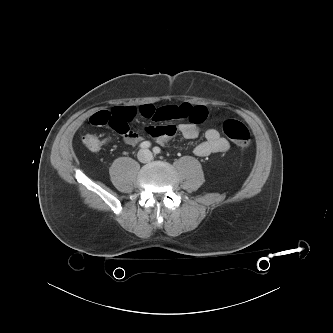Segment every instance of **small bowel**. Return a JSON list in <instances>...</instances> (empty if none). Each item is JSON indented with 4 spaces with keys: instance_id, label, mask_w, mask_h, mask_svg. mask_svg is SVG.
<instances>
[{
    "instance_id": "c3829d8e",
    "label": "small bowel",
    "mask_w": 333,
    "mask_h": 333,
    "mask_svg": "<svg viewBox=\"0 0 333 333\" xmlns=\"http://www.w3.org/2000/svg\"><path fill=\"white\" fill-rule=\"evenodd\" d=\"M128 108L116 107L103 111L109 112L114 117V122L110 126L123 136L125 143L134 146L141 142L143 137L138 132L130 129L129 125L124 122V114ZM100 112L102 111L90 116L89 123L91 125L100 126L97 120ZM139 112L143 117L156 123L146 127V133L162 145L169 143L177 134L188 140L196 139L200 134L199 124L203 123L208 117L206 107L194 106L189 103L162 108L143 105L139 107ZM175 120L186 121L175 125L173 124ZM229 148V142L220 135L219 131L210 128L206 130L204 140L195 146L194 153L199 157H206L214 153H224Z\"/></svg>"
}]
</instances>
